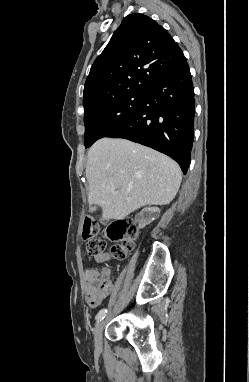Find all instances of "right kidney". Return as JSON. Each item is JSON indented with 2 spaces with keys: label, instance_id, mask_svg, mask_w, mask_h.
Listing matches in <instances>:
<instances>
[{
  "label": "right kidney",
  "instance_id": "1",
  "mask_svg": "<svg viewBox=\"0 0 249 382\" xmlns=\"http://www.w3.org/2000/svg\"><path fill=\"white\" fill-rule=\"evenodd\" d=\"M143 210L136 216L135 223L139 224V228H144L152 221L157 219L160 214L158 207H149V205H143Z\"/></svg>",
  "mask_w": 249,
  "mask_h": 382
}]
</instances>
